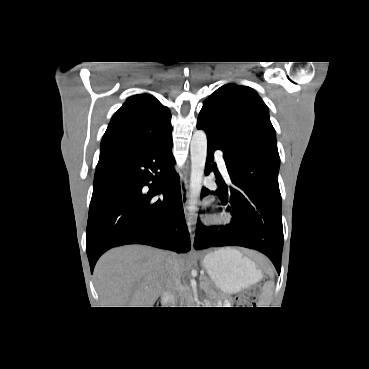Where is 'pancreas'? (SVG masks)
I'll list each match as a JSON object with an SVG mask.
<instances>
[{
  "mask_svg": "<svg viewBox=\"0 0 369 369\" xmlns=\"http://www.w3.org/2000/svg\"><path fill=\"white\" fill-rule=\"evenodd\" d=\"M201 288L204 291L209 292L211 290V282L208 279L203 278L201 281Z\"/></svg>",
  "mask_w": 369,
  "mask_h": 369,
  "instance_id": "cf45deb5",
  "label": "pancreas"
}]
</instances>
